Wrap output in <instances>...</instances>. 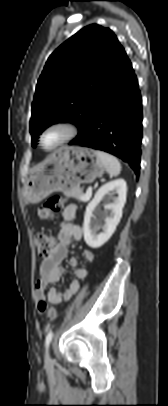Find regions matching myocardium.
Here are the masks:
<instances>
[{"label": "myocardium", "instance_id": "myocardium-1", "mask_svg": "<svg viewBox=\"0 0 168 406\" xmlns=\"http://www.w3.org/2000/svg\"><path fill=\"white\" fill-rule=\"evenodd\" d=\"M58 129L61 130L63 133V136L61 140L53 147L47 148L43 144V137L44 135L51 130ZM77 134V127L74 123L70 121H65V120H59V121H54L48 124L43 128V130L40 132L38 140H39V145L41 146L42 149L45 151H54L65 144H67L69 141H71L75 135Z\"/></svg>", "mask_w": 168, "mask_h": 406}]
</instances>
